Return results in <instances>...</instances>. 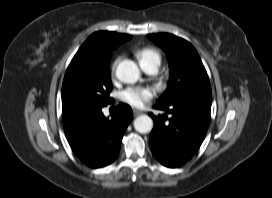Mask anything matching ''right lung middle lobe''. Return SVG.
Wrapping results in <instances>:
<instances>
[{
  "instance_id": "right-lung-middle-lobe-1",
  "label": "right lung middle lobe",
  "mask_w": 272,
  "mask_h": 198,
  "mask_svg": "<svg viewBox=\"0 0 272 198\" xmlns=\"http://www.w3.org/2000/svg\"><path fill=\"white\" fill-rule=\"evenodd\" d=\"M109 64L110 58L102 60L73 82L71 98L75 109L100 107L111 103L109 94L112 90V82Z\"/></svg>"
}]
</instances>
